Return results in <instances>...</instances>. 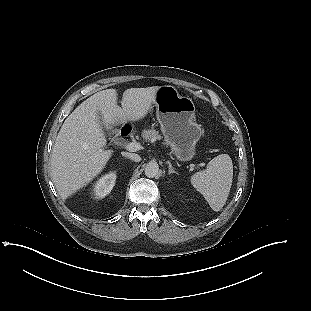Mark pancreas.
Instances as JSON below:
<instances>
[{
    "mask_svg": "<svg viewBox=\"0 0 311 311\" xmlns=\"http://www.w3.org/2000/svg\"><path fill=\"white\" fill-rule=\"evenodd\" d=\"M142 137L145 138L146 140L161 139V135L159 134V132L153 128L144 130L142 132Z\"/></svg>",
    "mask_w": 311,
    "mask_h": 311,
    "instance_id": "obj_1",
    "label": "pancreas"
}]
</instances>
